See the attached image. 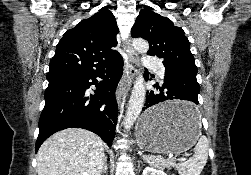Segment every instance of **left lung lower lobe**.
Here are the masks:
<instances>
[{
	"label": "left lung lower lobe",
	"instance_id": "obj_1",
	"mask_svg": "<svg viewBox=\"0 0 251 175\" xmlns=\"http://www.w3.org/2000/svg\"><path fill=\"white\" fill-rule=\"evenodd\" d=\"M148 79V76H146ZM155 86V85H154ZM159 87H157L158 89ZM200 86L196 74L177 68H166L164 84L160 92L150 91L146 98L142 121L145 125L192 121L199 117L198 94ZM171 99L191 103L162 109H150L153 105Z\"/></svg>",
	"mask_w": 251,
	"mask_h": 175
}]
</instances>
